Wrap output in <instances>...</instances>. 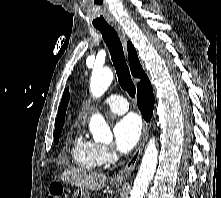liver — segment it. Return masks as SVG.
Returning a JSON list of instances; mask_svg holds the SVG:
<instances>
[{"label":"liver","mask_w":221,"mask_h":198,"mask_svg":"<svg viewBox=\"0 0 221 198\" xmlns=\"http://www.w3.org/2000/svg\"><path fill=\"white\" fill-rule=\"evenodd\" d=\"M59 180L70 183L78 188L97 191L107 182L106 175L79 168H68L59 177Z\"/></svg>","instance_id":"1"}]
</instances>
